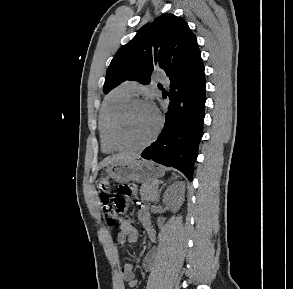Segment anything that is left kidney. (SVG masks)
<instances>
[{"label":"left kidney","mask_w":293,"mask_h":289,"mask_svg":"<svg viewBox=\"0 0 293 289\" xmlns=\"http://www.w3.org/2000/svg\"><path fill=\"white\" fill-rule=\"evenodd\" d=\"M184 182H176L172 186H170L163 197V202L167 206H169L172 210L176 211L178 210L182 203L184 198ZM172 196V197H170Z\"/></svg>","instance_id":"5707ae66"}]
</instances>
